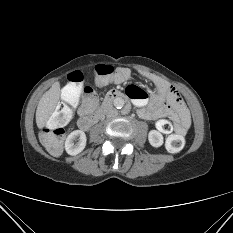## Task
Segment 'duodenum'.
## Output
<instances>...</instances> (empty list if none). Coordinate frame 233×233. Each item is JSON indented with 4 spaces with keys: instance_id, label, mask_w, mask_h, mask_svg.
Returning <instances> with one entry per match:
<instances>
[{
    "instance_id": "410a0bca",
    "label": "duodenum",
    "mask_w": 233,
    "mask_h": 233,
    "mask_svg": "<svg viewBox=\"0 0 233 233\" xmlns=\"http://www.w3.org/2000/svg\"><path fill=\"white\" fill-rule=\"evenodd\" d=\"M126 98V95L120 91H112L104 99V102L99 110H97L92 115L83 116L78 121V126L82 130L90 129L103 115V113L107 110L110 104L117 100Z\"/></svg>"
}]
</instances>
